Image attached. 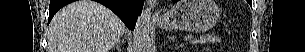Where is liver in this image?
Returning a JSON list of instances; mask_svg holds the SVG:
<instances>
[{
	"label": "liver",
	"instance_id": "1",
	"mask_svg": "<svg viewBox=\"0 0 305 52\" xmlns=\"http://www.w3.org/2000/svg\"><path fill=\"white\" fill-rule=\"evenodd\" d=\"M125 32L107 7L90 0L59 10L49 25L48 52H108Z\"/></svg>",
	"mask_w": 305,
	"mask_h": 52
}]
</instances>
